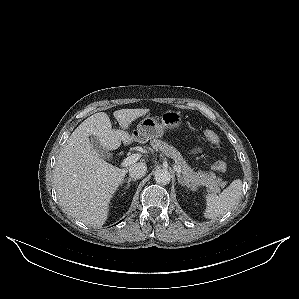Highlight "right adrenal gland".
<instances>
[{
  "instance_id": "2a0ac1e0",
  "label": "right adrenal gland",
  "mask_w": 299,
  "mask_h": 299,
  "mask_svg": "<svg viewBox=\"0 0 299 299\" xmlns=\"http://www.w3.org/2000/svg\"><path fill=\"white\" fill-rule=\"evenodd\" d=\"M131 181H136V179H134V178H128L127 180H124V182L127 183L126 186H125V189L129 188ZM121 186H122V184H121Z\"/></svg>"
}]
</instances>
